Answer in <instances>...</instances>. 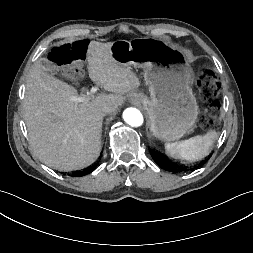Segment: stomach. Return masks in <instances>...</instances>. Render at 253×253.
Listing matches in <instances>:
<instances>
[{"label":"stomach","instance_id":"0dacf381","mask_svg":"<svg viewBox=\"0 0 253 253\" xmlns=\"http://www.w3.org/2000/svg\"><path fill=\"white\" fill-rule=\"evenodd\" d=\"M120 64L141 67L150 97L134 93L146 110L154 137L172 142L190 133L198 116L193 71L184 55L152 38L118 40L111 48Z\"/></svg>","mask_w":253,"mask_h":253}]
</instances>
